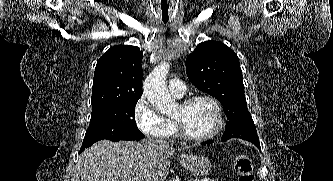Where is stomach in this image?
<instances>
[{"label":"stomach","instance_id":"0dacf381","mask_svg":"<svg viewBox=\"0 0 333 181\" xmlns=\"http://www.w3.org/2000/svg\"><path fill=\"white\" fill-rule=\"evenodd\" d=\"M181 165L195 175L204 176L211 169V163L208 158L202 155H196L190 151L180 156Z\"/></svg>","mask_w":333,"mask_h":181}]
</instances>
